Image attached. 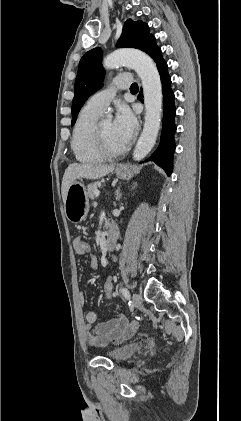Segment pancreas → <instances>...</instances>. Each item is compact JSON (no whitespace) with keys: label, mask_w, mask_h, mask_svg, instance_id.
I'll return each mask as SVG.
<instances>
[{"label":"pancreas","mask_w":241,"mask_h":421,"mask_svg":"<svg viewBox=\"0 0 241 421\" xmlns=\"http://www.w3.org/2000/svg\"><path fill=\"white\" fill-rule=\"evenodd\" d=\"M100 186V183L99 182H93V183H90L88 186H87V191H86V194H87V197L88 198H90V199H93L94 198V196H95V191H97L98 190V187Z\"/></svg>","instance_id":"pancreas-1"}]
</instances>
